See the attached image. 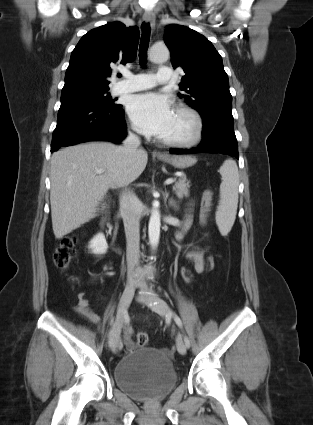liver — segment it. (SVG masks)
<instances>
[{
  "label": "liver",
  "mask_w": 313,
  "mask_h": 425,
  "mask_svg": "<svg viewBox=\"0 0 313 425\" xmlns=\"http://www.w3.org/2000/svg\"><path fill=\"white\" fill-rule=\"evenodd\" d=\"M148 161L145 150L130 157L108 142L66 147L51 158V217L56 239H61L96 216L97 206L110 187L135 181ZM103 169V173H96Z\"/></svg>",
  "instance_id": "1"
}]
</instances>
